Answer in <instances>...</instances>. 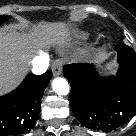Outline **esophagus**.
Segmentation results:
<instances>
[{
  "instance_id": "obj_1",
  "label": "esophagus",
  "mask_w": 136,
  "mask_h": 136,
  "mask_svg": "<svg viewBox=\"0 0 136 136\" xmlns=\"http://www.w3.org/2000/svg\"><path fill=\"white\" fill-rule=\"evenodd\" d=\"M63 62L61 60L54 61L52 71L54 76H59L62 73Z\"/></svg>"
}]
</instances>
